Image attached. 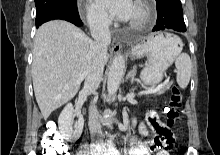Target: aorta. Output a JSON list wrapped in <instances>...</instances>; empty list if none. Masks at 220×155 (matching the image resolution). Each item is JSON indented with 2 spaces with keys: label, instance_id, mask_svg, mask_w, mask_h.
Masks as SVG:
<instances>
[{
  "label": "aorta",
  "instance_id": "aorta-1",
  "mask_svg": "<svg viewBox=\"0 0 220 155\" xmlns=\"http://www.w3.org/2000/svg\"><path fill=\"white\" fill-rule=\"evenodd\" d=\"M125 69V59L122 55L114 58L108 73L107 91L109 96L114 95L120 85Z\"/></svg>",
  "mask_w": 220,
  "mask_h": 155
}]
</instances>
